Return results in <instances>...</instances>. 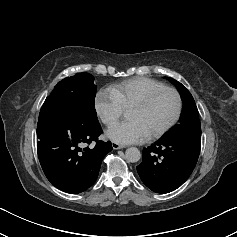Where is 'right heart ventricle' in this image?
Here are the masks:
<instances>
[{"label":"right heart ventricle","instance_id":"e07e8e85","mask_svg":"<svg viewBox=\"0 0 237 237\" xmlns=\"http://www.w3.org/2000/svg\"><path fill=\"white\" fill-rule=\"evenodd\" d=\"M166 87L163 83L150 78H132L115 84L111 89L118 95L123 107L132 106L150 92Z\"/></svg>","mask_w":237,"mask_h":237}]
</instances>
